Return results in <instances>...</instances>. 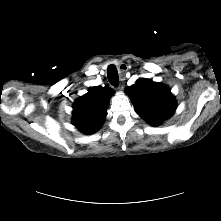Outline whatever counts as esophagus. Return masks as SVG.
Returning a JSON list of instances; mask_svg holds the SVG:
<instances>
[{"label":"esophagus","mask_w":221,"mask_h":221,"mask_svg":"<svg viewBox=\"0 0 221 221\" xmlns=\"http://www.w3.org/2000/svg\"><path fill=\"white\" fill-rule=\"evenodd\" d=\"M122 66H125V65H122ZM122 72H126V69H122ZM123 78H124V77H123ZM121 80H124V79H121ZM118 89H119L120 91H122V90H123V86L120 85V86L118 87Z\"/></svg>","instance_id":"esophagus-1"}]
</instances>
